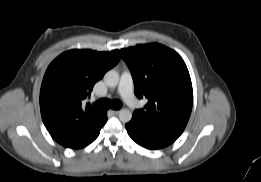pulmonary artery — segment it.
I'll use <instances>...</instances> for the list:
<instances>
[{
	"mask_svg": "<svg viewBox=\"0 0 261 182\" xmlns=\"http://www.w3.org/2000/svg\"><path fill=\"white\" fill-rule=\"evenodd\" d=\"M118 93L123 100L130 106H135L137 99L133 93V77L130 71L126 70L120 77Z\"/></svg>",
	"mask_w": 261,
	"mask_h": 182,
	"instance_id": "obj_1",
	"label": "pulmonary artery"
}]
</instances>
